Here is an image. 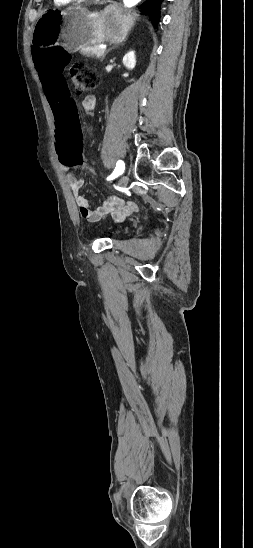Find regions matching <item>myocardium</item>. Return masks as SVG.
Returning a JSON list of instances; mask_svg holds the SVG:
<instances>
[{
	"mask_svg": "<svg viewBox=\"0 0 253 548\" xmlns=\"http://www.w3.org/2000/svg\"><path fill=\"white\" fill-rule=\"evenodd\" d=\"M72 1H102V0H72Z\"/></svg>",
	"mask_w": 253,
	"mask_h": 548,
	"instance_id": "myocardium-1",
	"label": "myocardium"
}]
</instances>
